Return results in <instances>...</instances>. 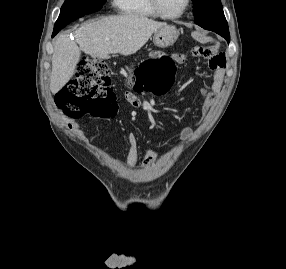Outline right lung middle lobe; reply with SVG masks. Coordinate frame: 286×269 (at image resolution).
Instances as JSON below:
<instances>
[{"mask_svg": "<svg viewBox=\"0 0 286 269\" xmlns=\"http://www.w3.org/2000/svg\"><path fill=\"white\" fill-rule=\"evenodd\" d=\"M106 0H65L53 31H59L72 21L101 9Z\"/></svg>", "mask_w": 286, "mask_h": 269, "instance_id": "obj_1", "label": "right lung middle lobe"}]
</instances>
